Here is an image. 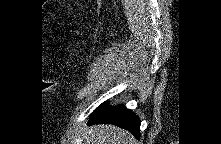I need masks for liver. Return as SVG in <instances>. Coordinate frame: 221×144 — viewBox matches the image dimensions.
Instances as JSON below:
<instances>
[{
	"label": "liver",
	"instance_id": "liver-1",
	"mask_svg": "<svg viewBox=\"0 0 221 144\" xmlns=\"http://www.w3.org/2000/svg\"><path fill=\"white\" fill-rule=\"evenodd\" d=\"M85 144H136L128 131L114 125H94L81 134Z\"/></svg>",
	"mask_w": 221,
	"mask_h": 144
}]
</instances>
